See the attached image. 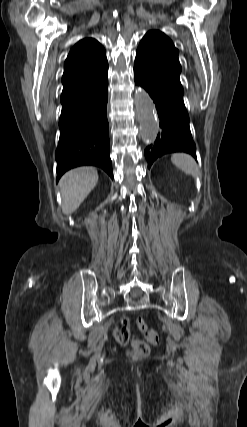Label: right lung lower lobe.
Returning <instances> with one entry per match:
<instances>
[{
	"label": "right lung lower lobe",
	"mask_w": 247,
	"mask_h": 427,
	"mask_svg": "<svg viewBox=\"0 0 247 427\" xmlns=\"http://www.w3.org/2000/svg\"><path fill=\"white\" fill-rule=\"evenodd\" d=\"M108 70L62 92L60 138L56 149L57 181L68 170L93 165L113 178L107 121Z\"/></svg>",
	"instance_id": "obj_1"
}]
</instances>
